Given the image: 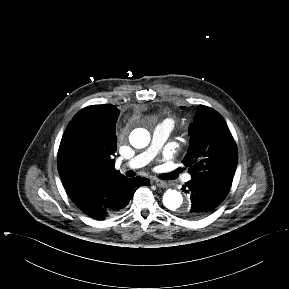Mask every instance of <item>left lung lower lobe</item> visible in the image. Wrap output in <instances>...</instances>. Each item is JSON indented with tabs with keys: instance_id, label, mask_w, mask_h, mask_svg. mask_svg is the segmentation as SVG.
<instances>
[{
	"instance_id": "1",
	"label": "left lung lower lobe",
	"mask_w": 289,
	"mask_h": 289,
	"mask_svg": "<svg viewBox=\"0 0 289 289\" xmlns=\"http://www.w3.org/2000/svg\"><path fill=\"white\" fill-rule=\"evenodd\" d=\"M191 196V207L184 214L187 218H200L210 213L226 197L230 187L207 180L191 179L182 190Z\"/></svg>"
}]
</instances>
